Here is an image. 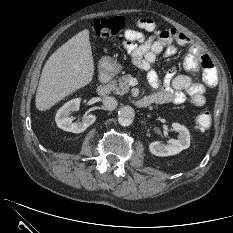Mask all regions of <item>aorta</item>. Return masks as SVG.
Instances as JSON below:
<instances>
[{"label": "aorta", "mask_w": 233, "mask_h": 233, "mask_svg": "<svg viewBox=\"0 0 233 233\" xmlns=\"http://www.w3.org/2000/svg\"><path fill=\"white\" fill-rule=\"evenodd\" d=\"M135 117V111L131 106H123L118 112V122L120 125L126 127L130 126Z\"/></svg>", "instance_id": "1"}]
</instances>
